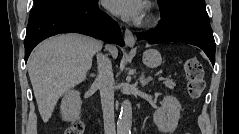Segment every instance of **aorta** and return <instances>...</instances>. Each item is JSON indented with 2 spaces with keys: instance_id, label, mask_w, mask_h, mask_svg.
Wrapping results in <instances>:
<instances>
[{
  "instance_id": "aorta-1",
  "label": "aorta",
  "mask_w": 239,
  "mask_h": 134,
  "mask_svg": "<svg viewBox=\"0 0 239 134\" xmlns=\"http://www.w3.org/2000/svg\"><path fill=\"white\" fill-rule=\"evenodd\" d=\"M132 128V105L126 99L121 104L120 114L117 121V134H131Z\"/></svg>"
}]
</instances>
